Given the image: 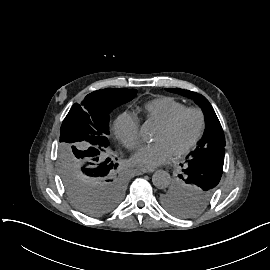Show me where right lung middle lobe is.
Here are the masks:
<instances>
[{
  "label": "right lung middle lobe",
  "instance_id": "obj_1",
  "mask_svg": "<svg viewBox=\"0 0 270 270\" xmlns=\"http://www.w3.org/2000/svg\"><path fill=\"white\" fill-rule=\"evenodd\" d=\"M136 89L106 88L73 104L60 128L57 167L71 205L88 216L113 209L126 188L124 170L109 158V113L131 101Z\"/></svg>",
  "mask_w": 270,
  "mask_h": 270
}]
</instances>
